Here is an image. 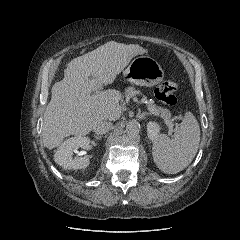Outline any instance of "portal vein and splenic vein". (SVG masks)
<instances>
[{
    "label": "portal vein and splenic vein",
    "instance_id": "obj_1",
    "mask_svg": "<svg viewBox=\"0 0 240 240\" xmlns=\"http://www.w3.org/2000/svg\"><path fill=\"white\" fill-rule=\"evenodd\" d=\"M148 110H149L151 113H153V114H155V115H158V112H157L156 109H154V108H152V107H148ZM165 123L167 124V126H168L169 129H170V133H172V132H173V130H172V128H173L172 122H165Z\"/></svg>",
    "mask_w": 240,
    "mask_h": 240
}]
</instances>
